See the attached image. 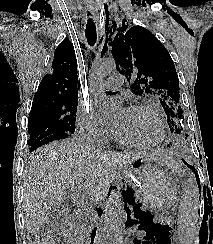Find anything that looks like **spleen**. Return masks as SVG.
Masks as SVG:
<instances>
[{
    "instance_id": "obj_1",
    "label": "spleen",
    "mask_w": 213,
    "mask_h": 244,
    "mask_svg": "<svg viewBox=\"0 0 213 244\" xmlns=\"http://www.w3.org/2000/svg\"><path fill=\"white\" fill-rule=\"evenodd\" d=\"M188 183L178 211V233L182 244H192L198 231L199 192L193 175L189 176Z\"/></svg>"
}]
</instances>
